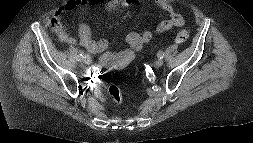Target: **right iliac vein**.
<instances>
[{
  "mask_svg": "<svg viewBox=\"0 0 253 143\" xmlns=\"http://www.w3.org/2000/svg\"><path fill=\"white\" fill-rule=\"evenodd\" d=\"M84 63L87 64V65H89V64L92 63V59H91L89 56H87V57L84 59Z\"/></svg>",
  "mask_w": 253,
  "mask_h": 143,
  "instance_id": "right-iliac-vein-1",
  "label": "right iliac vein"
}]
</instances>
